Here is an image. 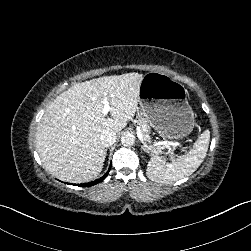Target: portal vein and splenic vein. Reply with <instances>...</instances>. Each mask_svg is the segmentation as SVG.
Wrapping results in <instances>:
<instances>
[{
  "instance_id": "1",
  "label": "portal vein and splenic vein",
  "mask_w": 251,
  "mask_h": 251,
  "mask_svg": "<svg viewBox=\"0 0 251 251\" xmlns=\"http://www.w3.org/2000/svg\"><path fill=\"white\" fill-rule=\"evenodd\" d=\"M112 97V95L104 94L102 96V103L103 107L101 109L102 115H107V113L110 111V102L109 99ZM136 132L138 135V139L140 141H143L145 139V136L141 133V127L139 125H136ZM150 147H165L166 149H169V151L166 153L165 162L167 164L171 163L170 156L174 154V147L179 149L180 151H186L187 147L182 146L181 142L179 140H164L163 142H150Z\"/></svg>"
}]
</instances>
